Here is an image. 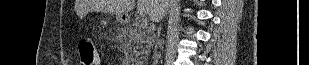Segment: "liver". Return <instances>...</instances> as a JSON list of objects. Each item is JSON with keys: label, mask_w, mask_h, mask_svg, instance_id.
Here are the masks:
<instances>
[{"label": "liver", "mask_w": 309, "mask_h": 65, "mask_svg": "<svg viewBox=\"0 0 309 65\" xmlns=\"http://www.w3.org/2000/svg\"><path fill=\"white\" fill-rule=\"evenodd\" d=\"M136 0H81L80 10H95L115 15L127 14L135 8ZM137 9L141 14H147L154 22H158L165 14V4L162 0H137Z\"/></svg>", "instance_id": "obj_1"}]
</instances>
